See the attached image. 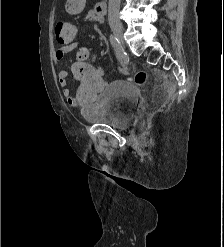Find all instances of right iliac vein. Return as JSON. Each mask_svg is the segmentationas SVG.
<instances>
[{
    "instance_id": "right-iliac-vein-1",
    "label": "right iliac vein",
    "mask_w": 224,
    "mask_h": 247,
    "mask_svg": "<svg viewBox=\"0 0 224 247\" xmlns=\"http://www.w3.org/2000/svg\"><path fill=\"white\" fill-rule=\"evenodd\" d=\"M111 30L119 42L123 45V29L120 24H111Z\"/></svg>"
}]
</instances>
